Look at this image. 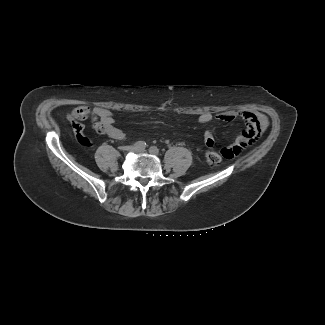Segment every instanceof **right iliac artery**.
Returning <instances> with one entry per match:
<instances>
[{"label":"right iliac artery","mask_w":325,"mask_h":325,"mask_svg":"<svg viewBox=\"0 0 325 325\" xmlns=\"http://www.w3.org/2000/svg\"><path fill=\"white\" fill-rule=\"evenodd\" d=\"M137 148L144 149L146 147V143L144 141H138L134 144Z\"/></svg>","instance_id":"1"}]
</instances>
